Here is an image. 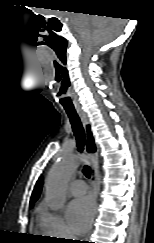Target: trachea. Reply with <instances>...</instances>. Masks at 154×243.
<instances>
[{
  "mask_svg": "<svg viewBox=\"0 0 154 243\" xmlns=\"http://www.w3.org/2000/svg\"><path fill=\"white\" fill-rule=\"evenodd\" d=\"M65 111L70 119L72 129L76 137L78 151L82 152L84 150L86 138H85V132L81 120L74 108H65ZM83 173L87 178H90L91 176L90 167L87 165L84 166Z\"/></svg>",
  "mask_w": 154,
  "mask_h": 243,
  "instance_id": "obj_1",
  "label": "trachea"
}]
</instances>
